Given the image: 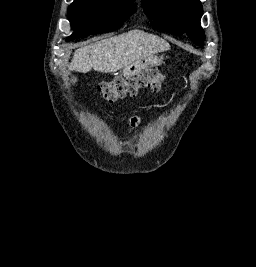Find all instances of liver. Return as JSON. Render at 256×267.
I'll use <instances>...</instances> for the list:
<instances>
[{"label": "liver", "instance_id": "obj_1", "mask_svg": "<svg viewBox=\"0 0 256 267\" xmlns=\"http://www.w3.org/2000/svg\"><path fill=\"white\" fill-rule=\"evenodd\" d=\"M166 50H170L166 40L141 30H131L127 34H120L115 38L100 40L90 46L78 48L73 54L68 70L86 74L93 68L96 72L109 74V72H118L133 66L136 62L151 58L152 54L166 52Z\"/></svg>", "mask_w": 256, "mask_h": 267}]
</instances>
